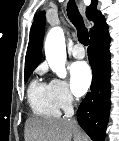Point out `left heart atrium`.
Returning a JSON list of instances; mask_svg holds the SVG:
<instances>
[{
  "label": "left heart atrium",
  "instance_id": "39dd6f15",
  "mask_svg": "<svg viewBox=\"0 0 119 141\" xmlns=\"http://www.w3.org/2000/svg\"><path fill=\"white\" fill-rule=\"evenodd\" d=\"M71 86L76 95H83L92 82V72L85 62H76L71 66Z\"/></svg>",
  "mask_w": 119,
  "mask_h": 141
}]
</instances>
